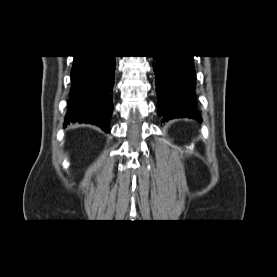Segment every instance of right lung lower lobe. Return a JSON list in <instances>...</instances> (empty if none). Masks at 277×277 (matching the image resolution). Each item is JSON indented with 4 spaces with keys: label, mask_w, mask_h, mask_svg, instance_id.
I'll return each mask as SVG.
<instances>
[{
    "label": "right lung lower lobe",
    "mask_w": 277,
    "mask_h": 277,
    "mask_svg": "<svg viewBox=\"0 0 277 277\" xmlns=\"http://www.w3.org/2000/svg\"><path fill=\"white\" fill-rule=\"evenodd\" d=\"M114 70L115 56H74L65 126L75 122L91 123L109 132Z\"/></svg>",
    "instance_id": "98d812e1"
}]
</instances>
